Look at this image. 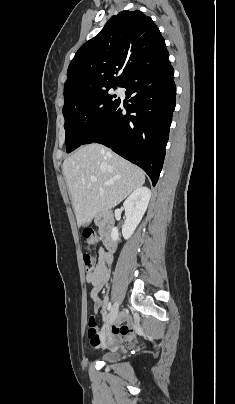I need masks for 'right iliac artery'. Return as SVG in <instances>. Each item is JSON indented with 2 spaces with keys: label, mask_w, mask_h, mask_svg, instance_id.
<instances>
[{
  "label": "right iliac artery",
  "mask_w": 235,
  "mask_h": 404,
  "mask_svg": "<svg viewBox=\"0 0 235 404\" xmlns=\"http://www.w3.org/2000/svg\"><path fill=\"white\" fill-rule=\"evenodd\" d=\"M108 311H110V314L112 315V306H111V302L108 303L107 306Z\"/></svg>",
  "instance_id": "1"
}]
</instances>
